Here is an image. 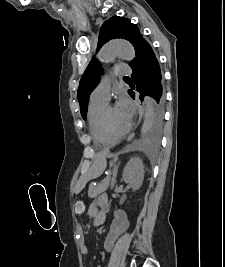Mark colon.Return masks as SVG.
Here are the masks:
<instances>
[{
    "label": "colon",
    "instance_id": "colon-1",
    "mask_svg": "<svg viewBox=\"0 0 225 267\" xmlns=\"http://www.w3.org/2000/svg\"><path fill=\"white\" fill-rule=\"evenodd\" d=\"M85 206L82 200H76L74 203V211L76 214H82L84 212Z\"/></svg>",
    "mask_w": 225,
    "mask_h": 267
}]
</instances>
